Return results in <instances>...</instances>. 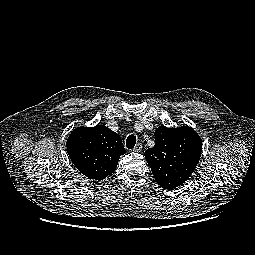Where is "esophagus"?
I'll use <instances>...</instances> for the list:
<instances>
[{
  "instance_id": "esophagus-1",
  "label": "esophagus",
  "mask_w": 255,
  "mask_h": 255,
  "mask_svg": "<svg viewBox=\"0 0 255 255\" xmlns=\"http://www.w3.org/2000/svg\"><path fill=\"white\" fill-rule=\"evenodd\" d=\"M142 148H143L142 144L137 143L136 146L134 147L133 151L139 153L142 151Z\"/></svg>"
}]
</instances>
